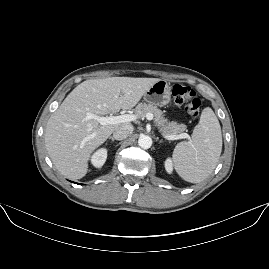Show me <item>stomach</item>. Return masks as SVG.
I'll use <instances>...</instances> for the list:
<instances>
[{"mask_svg": "<svg viewBox=\"0 0 269 269\" xmlns=\"http://www.w3.org/2000/svg\"><path fill=\"white\" fill-rule=\"evenodd\" d=\"M145 101L155 106H165L171 101V87L165 80L156 82L144 95Z\"/></svg>", "mask_w": 269, "mask_h": 269, "instance_id": "obj_1", "label": "stomach"}]
</instances>
